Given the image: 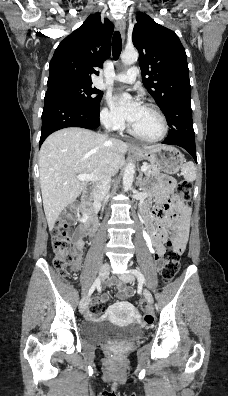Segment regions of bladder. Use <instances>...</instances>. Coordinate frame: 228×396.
<instances>
[{"instance_id":"bladder-1","label":"bladder","mask_w":228,"mask_h":396,"mask_svg":"<svg viewBox=\"0 0 228 396\" xmlns=\"http://www.w3.org/2000/svg\"><path fill=\"white\" fill-rule=\"evenodd\" d=\"M82 338L89 342H109L135 340L144 335V329L138 326H119L109 321L88 320L80 330Z\"/></svg>"}]
</instances>
